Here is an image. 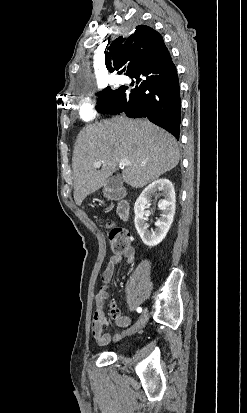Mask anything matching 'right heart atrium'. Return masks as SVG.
Listing matches in <instances>:
<instances>
[{
    "instance_id": "right-heart-atrium-1",
    "label": "right heart atrium",
    "mask_w": 247,
    "mask_h": 413,
    "mask_svg": "<svg viewBox=\"0 0 247 413\" xmlns=\"http://www.w3.org/2000/svg\"><path fill=\"white\" fill-rule=\"evenodd\" d=\"M94 107V100H83L82 105H79L77 108L80 119H98L101 116V113L98 110H91L94 109Z\"/></svg>"
}]
</instances>
